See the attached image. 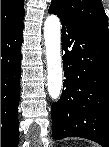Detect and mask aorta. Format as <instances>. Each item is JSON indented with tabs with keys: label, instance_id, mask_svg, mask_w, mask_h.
I'll return each instance as SVG.
<instances>
[{
	"label": "aorta",
	"instance_id": "762f6f07",
	"mask_svg": "<svg viewBox=\"0 0 109 147\" xmlns=\"http://www.w3.org/2000/svg\"><path fill=\"white\" fill-rule=\"evenodd\" d=\"M61 23L56 15H49L44 23L47 60V86L50 97L57 100L62 89Z\"/></svg>",
	"mask_w": 109,
	"mask_h": 147
}]
</instances>
